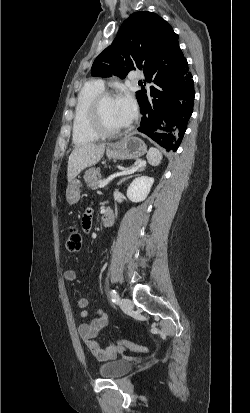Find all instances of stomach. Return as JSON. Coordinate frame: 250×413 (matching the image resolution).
<instances>
[{"instance_id": "0dacf381", "label": "stomach", "mask_w": 250, "mask_h": 413, "mask_svg": "<svg viewBox=\"0 0 250 413\" xmlns=\"http://www.w3.org/2000/svg\"><path fill=\"white\" fill-rule=\"evenodd\" d=\"M147 152L145 143L138 137L127 136L120 142L111 144L106 151V155L110 159H136ZM81 182L73 179L68 183L66 190V200L68 204L74 205L80 199Z\"/></svg>"}]
</instances>
